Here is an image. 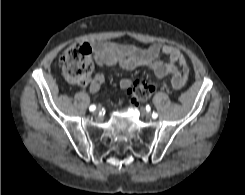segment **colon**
I'll return each instance as SVG.
<instances>
[{"label":"colon","instance_id":"colon-1","mask_svg":"<svg viewBox=\"0 0 245 195\" xmlns=\"http://www.w3.org/2000/svg\"><path fill=\"white\" fill-rule=\"evenodd\" d=\"M87 45H72L61 56L62 71L66 79L75 84H85L92 73L93 62ZM154 84L139 79L130 90L131 102L135 105L145 102L154 92Z\"/></svg>","mask_w":245,"mask_h":195}]
</instances>
